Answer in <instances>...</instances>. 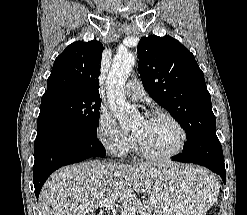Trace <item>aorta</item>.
I'll return each mask as SVG.
<instances>
[{
    "label": "aorta",
    "mask_w": 247,
    "mask_h": 215,
    "mask_svg": "<svg viewBox=\"0 0 247 215\" xmlns=\"http://www.w3.org/2000/svg\"><path fill=\"white\" fill-rule=\"evenodd\" d=\"M134 65L133 54L120 52L114 57L107 77L109 108L122 128L131 127L140 116L138 110L128 103L125 96V83Z\"/></svg>",
    "instance_id": "obj_1"
}]
</instances>
